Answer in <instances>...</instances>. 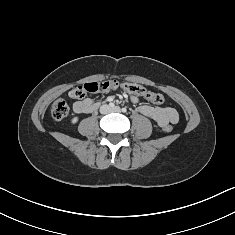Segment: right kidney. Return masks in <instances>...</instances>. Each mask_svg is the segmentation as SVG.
Listing matches in <instances>:
<instances>
[{"label":"right kidney","instance_id":"1","mask_svg":"<svg viewBox=\"0 0 235 235\" xmlns=\"http://www.w3.org/2000/svg\"><path fill=\"white\" fill-rule=\"evenodd\" d=\"M77 121H78V117H74V118L71 120V123H72V124H75Z\"/></svg>","mask_w":235,"mask_h":235}]
</instances>
